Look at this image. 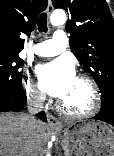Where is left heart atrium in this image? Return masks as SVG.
I'll return each mask as SVG.
<instances>
[{
	"mask_svg": "<svg viewBox=\"0 0 114 156\" xmlns=\"http://www.w3.org/2000/svg\"><path fill=\"white\" fill-rule=\"evenodd\" d=\"M40 88L53 97L62 99L76 79L73 63L68 58H58L36 68Z\"/></svg>",
	"mask_w": 114,
	"mask_h": 156,
	"instance_id": "39dd6f15",
	"label": "left heart atrium"
}]
</instances>
